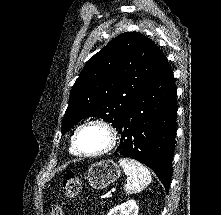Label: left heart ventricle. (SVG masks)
Returning <instances> with one entry per match:
<instances>
[{
    "mask_svg": "<svg viewBox=\"0 0 221 215\" xmlns=\"http://www.w3.org/2000/svg\"><path fill=\"white\" fill-rule=\"evenodd\" d=\"M77 142L80 150L93 153L106 146L108 137L103 128L97 125H91L81 130Z\"/></svg>",
    "mask_w": 221,
    "mask_h": 215,
    "instance_id": "left-heart-ventricle-1",
    "label": "left heart ventricle"
}]
</instances>
